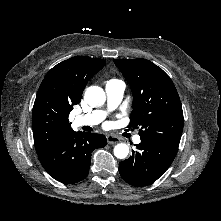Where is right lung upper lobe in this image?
Segmentation results:
<instances>
[{
    "label": "right lung upper lobe",
    "instance_id": "cb5924a9",
    "mask_svg": "<svg viewBox=\"0 0 221 221\" xmlns=\"http://www.w3.org/2000/svg\"><path fill=\"white\" fill-rule=\"evenodd\" d=\"M105 62L99 58L76 56L57 64L47 73L37 92L32 114L38 155L74 133L69 113L80 102L88 80Z\"/></svg>",
    "mask_w": 221,
    "mask_h": 221
}]
</instances>
